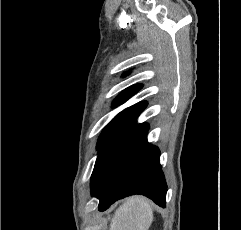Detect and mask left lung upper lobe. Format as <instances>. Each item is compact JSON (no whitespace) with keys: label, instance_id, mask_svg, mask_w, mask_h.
Returning a JSON list of instances; mask_svg holds the SVG:
<instances>
[{"label":"left lung upper lobe","instance_id":"1","mask_svg":"<svg viewBox=\"0 0 241 230\" xmlns=\"http://www.w3.org/2000/svg\"><path fill=\"white\" fill-rule=\"evenodd\" d=\"M142 88L141 84H136L126 88L122 91L114 100L113 106L120 105L128 100L131 96L137 93ZM147 106V102H139L134 104L122 112H120L117 116H115L112 121L104 128L102 131L97 149H99L104 143H106L111 137L125 128L128 124L134 121L139 114L145 109Z\"/></svg>","mask_w":241,"mask_h":230}]
</instances>
